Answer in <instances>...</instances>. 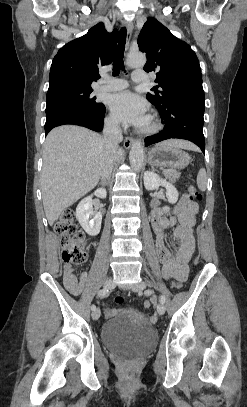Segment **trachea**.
Wrapping results in <instances>:
<instances>
[{
	"instance_id": "obj_1",
	"label": "trachea",
	"mask_w": 247,
	"mask_h": 407,
	"mask_svg": "<svg viewBox=\"0 0 247 407\" xmlns=\"http://www.w3.org/2000/svg\"><path fill=\"white\" fill-rule=\"evenodd\" d=\"M126 28L120 29L119 34V43L115 50L114 60H113V76H118L120 70L125 72L124 67V50H125V41H126Z\"/></svg>"
}]
</instances>
